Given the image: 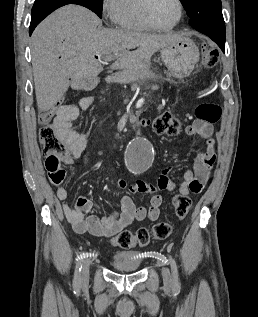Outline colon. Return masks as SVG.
<instances>
[{
	"label": "colon",
	"instance_id": "obj_1",
	"mask_svg": "<svg viewBox=\"0 0 258 317\" xmlns=\"http://www.w3.org/2000/svg\"><path fill=\"white\" fill-rule=\"evenodd\" d=\"M215 51L208 53L206 64L212 67L216 64ZM221 115V108L212 102H204L197 106L196 116L199 120L213 124L218 121ZM43 127L40 130L39 140L43 151L51 156H58L63 159H70V154L57 128L54 126V115L46 113L42 118ZM155 132L167 135H176L179 132L178 120L170 113L163 112L157 115L152 121ZM192 207L191 199L182 194L173 198L172 208L179 219H185ZM172 224L169 222H158L150 229L140 228L136 232L124 230L115 235L111 242L114 246L122 249H129L136 246H145L152 240H164L172 233Z\"/></svg>",
	"mask_w": 258,
	"mask_h": 317
}]
</instances>
